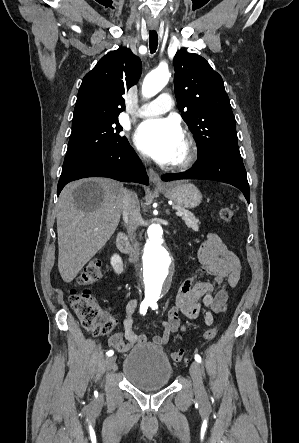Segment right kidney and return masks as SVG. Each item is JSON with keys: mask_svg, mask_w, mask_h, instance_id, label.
Wrapping results in <instances>:
<instances>
[{"mask_svg": "<svg viewBox=\"0 0 299 443\" xmlns=\"http://www.w3.org/2000/svg\"><path fill=\"white\" fill-rule=\"evenodd\" d=\"M111 265L116 274H120L123 272V262L121 257L118 254H114L111 257Z\"/></svg>", "mask_w": 299, "mask_h": 443, "instance_id": "right-kidney-1", "label": "right kidney"}]
</instances>
